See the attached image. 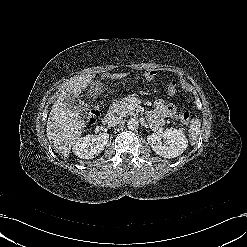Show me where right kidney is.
Here are the masks:
<instances>
[{"mask_svg": "<svg viewBox=\"0 0 247 247\" xmlns=\"http://www.w3.org/2000/svg\"><path fill=\"white\" fill-rule=\"evenodd\" d=\"M109 140V134L86 135L79 138L72 147L73 153L81 159H93L98 156Z\"/></svg>", "mask_w": 247, "mask_h": 247, "instance_id": "ca27d5eb", "label": "right kidney"}]
</instances>
